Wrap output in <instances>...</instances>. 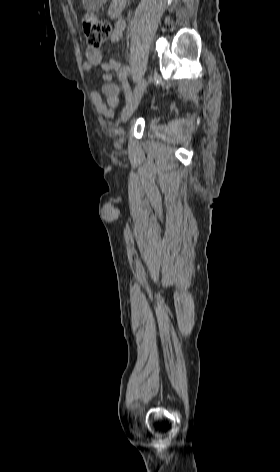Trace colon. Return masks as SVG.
<instances>
[{"mask_svg": "<svg viewBox=\"0 0 280 472\" xmlns=\"http://www.w3.org/2000/svg\"><path fill=\"white\" fill-rule=\"evenodd\" d=\"M81 24L86 37L87 54H93L109 37L110 25L92 13H85L82 16Z\"/></svg>", "mask_w": 280, "mask_h": 472, "instance_id": "1", "label": "colon"}]
</instances>
